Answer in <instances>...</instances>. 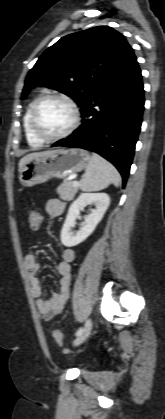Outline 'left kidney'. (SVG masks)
<instances>
[{
	"mask_svg": "<svg viewBox=\"0 0 165 419\" xmlns=\"http://www.w3.org/2000/svg\"><path fill=\"white\" fill-rule=\"evenodd\" d=\"M87 203H94L96 208L86 216L84 225L75 234L71 232V227L75 224V219L79 212L83 210ZM110 204V197L106 193H82L71 204L66 220L61 231V242L66 247L80 244L89 237L95 230L98 223L102 220Z\"/></svg>",
	"mask_w": 165,
	"mask_h": 419,
	"instance_id": "5707ae66",
	"label": "left kidney"
}]
</instances>
